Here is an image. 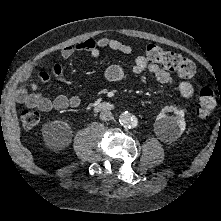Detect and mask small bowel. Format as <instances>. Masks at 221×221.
<instances>
[{"instance_id":"c3829d8e","label":"small bowel","mask_w":221,"mask_h":221,"mask_svg":"<svg viewBox=\"0 0 221 221\" xmlns=\"http://www.w3.org/2000/svg\"><path fill=\"white\" fill-rule=\"evenodd\" d=\"M110 48L124 54H130L132 47L118 39L102 36L99 38H87L75 45H67L59 51V55L63 59L71 58L77 52H86L92 57H98L101 49ZM51 72L59 80L68 83L69 78L64 74L61 66L57 63L50 65ZM134 74L149 72L161 84H171L174 80L171 73L156 63H150L144 56L139 55L135 58L132 65ZM36 74L41 81H48L50 76L44 71H37L36 67L29 68L20 78L19 86L16 90V100L24 103L30 108H35L43 112L52 110H64L68 107L76 108L80 105L81 100L78 96H66L60 94L53 99L48 98L38 91V84L31 80ZM105 77L108 81L118 83L125 78V69L113 64L105 70ZM30 88V91L27 90ZM178 91L183 98H190L194 93V87L189 81H180Z\"/></svg>"}]
</instances>
